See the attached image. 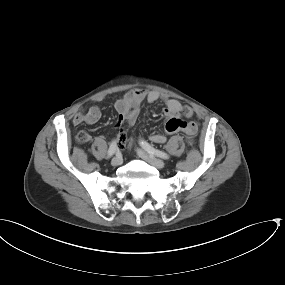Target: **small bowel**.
Wrapping results in <instances>:
<instances>
[{"mask_svg": "<svg viewBox=\"0 0 285 285\" xmlns=\"http://www.w3.org/2000/svg\"><path fill=\"white\" fill-rule=\"evenodd\" d=\"M160 99L163 100L164 108L163 113L166 117L165 130L169 134L177 132H183L188 136H192L196 131V125L193 122H185L181 118L183 106L174 98L163 96L160 92L151 90L144 91L140 89H134L127 91L121 98L115 102V109L118 114L116 129H117V142L122 145L124 142V125H133L140 113L141 104L144 101L148 103H155ZM102 116L101 109L98 106H92L88 110H79L72 116L74 124H94L99 121ZM81 134H87L89 139L90 135L81 131L77 138ZM150 139L154 143L162 144L166 141V136L160 133H155L150 136Z\"/></svg>", "mask_w": 285, "mask_h": 285, "instance_id": "obj_1", "label": "small bowel"}]
</instances>
